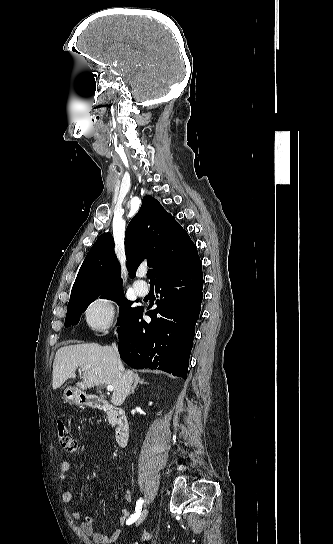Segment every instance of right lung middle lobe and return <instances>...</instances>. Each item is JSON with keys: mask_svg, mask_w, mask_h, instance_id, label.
<instances>
[{"mask_svg": "<svg viewBox=\"0 0 333 544\" xmlns=\"http://www.w3.org/2000/svg\"><path fill=\"white\" fill-rule=\"evenodd\" d=\"M99 295H102L101 298L113 300L118 305H120V314L117 325H121L140 308L131 307L133 302L125 298L122 289L110 291H92L83 295L76 296L69 300L67 306V314L65 318V327L76 325L79 322L82 312H84L90 305V303L96 300Z\"/></svg>", "mask_w": 333, "mask_h": 544, "instance_id": "1", "label": "right lung middle lobe"}]
</instances>
